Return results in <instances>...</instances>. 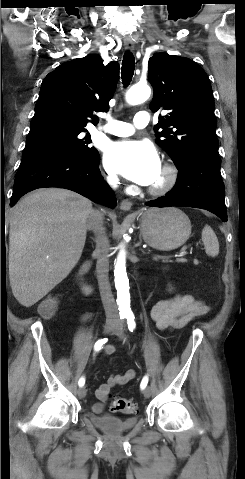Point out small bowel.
<instances>
[{
  "instance_id": "c3829d8e",
  "label": "small bowel",
  "mask_w": 245,
  "mask_h": 479,
  "mask_svg": "<svg viewBox=\"0 0 245 479\" xmlns=\"http://www.w3.org/2000/svg\"><path fill=\"white\" fill-rule=\"evenodd\" d=\"M209 306L189 294H179L170 299L158 301L151 309V317L161 330L177 328L184 326L193 318L205 314ZM105 355H112L115 352L113 346L104 348ZM137 373L134 369H129L123 374L111 375L107 382L100 385L96 390L98 402L91 405L95 414L104 411L110 389L114 386L124 385L135 379Z\"/></svg>"
}]
</instances>
